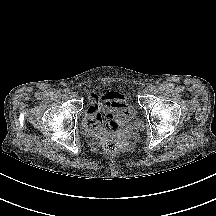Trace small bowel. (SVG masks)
<instances>
[{
    "mask_svg": "<svg viewBox=\"0 0 216 216\" xmlns=\"http://www.w3.org/2000/svg\"><path fill=\"white\" fill-rule=\"evenodd\" d=\"M88 99L89 107L84 118V127L92 135H103L106 131L115 130L118 118L131 114L125 97L117 91L90 93Z\"/></svg>",
    "mask_w": 216,
    "mask_h": 216,
    "instance_id": "small-bowel-1",
    "label": "small bowel"
}]
</instances>
